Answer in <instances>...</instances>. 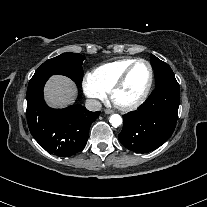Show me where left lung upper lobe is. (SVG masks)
<instances>
[{
  "label": "left lung upper lobe",
  "instance_id": "1",
  "mask_svg": "<svg viewBox=\"0 0 207 207\" xmlns=\"http://www.w3.org/2000/svg\"><path fill=\"white\" fill-rule=\"evenodd\" d=\"M151 64L155 71L156 87L169 82H177L173 71L167 63L151 55Z\"/></svg>",
  "mask_w": 207,
  "mask_h": 207
}]
</instances>
